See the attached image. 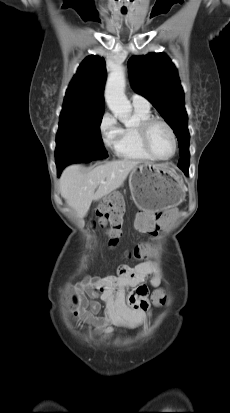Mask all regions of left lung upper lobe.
Returning <instances> with one entry per match:
<instances>
[{"instance_id": "obj_1", "label": "left lung upper lobe", "mask_w": 230, "mask_h": 413, "mask_svg": "<svg viewBox=\"0 0 230 413\" xmlns=\"http://www.w3.org/2000/svg\"><path fill=\"white\" fill-rule=\"evenodd\" d=\"M128 68L133 89L153 104L177 136L178 167L189 170L188 117L176 67L166 54L150 53L130 58Z\"/></svg>"}]
</instances>
